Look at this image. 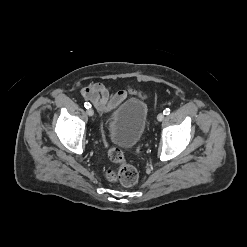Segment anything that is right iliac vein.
<instances>
[{"label": "right iliac vein", "instance_id": "63e3f726", "mask_svg": "<svg viewBox=\"0 0 247 247\" xmlns=\"http://www.w3.org/2000/svg\"><path fill=\"white\" fill-rule=\"evenodd\" d=\"M87 114H88L89 116H93V115H94L93 109H92V108H89V109L87 110Z\"/></svg>", "mask_w": 247, "mask_h": 247}]
</instances>
